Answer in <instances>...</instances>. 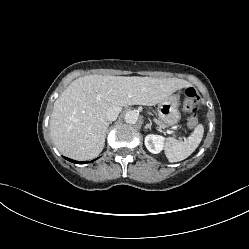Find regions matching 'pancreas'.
Wrapping results in <instances>:
<instances>
[{"label":"pancreas","mask_w":249,"mask_h":249,"mask_svg":"<svg viewBox=\"0 0 249 249\" xmlns=\"http://www.w3.org/2000/svg\"><path fill=\"white\" fill-rule=\"evenodd\" d=\"M157 123L159 124L160 127H165V125L162 122L157 121Z\"/></svg>","instance_id":"cf45deb5"}]
</instances>
